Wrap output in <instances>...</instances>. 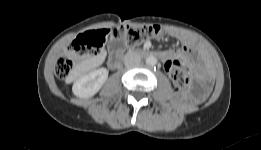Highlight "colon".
Segmentation results:
<instances>
[{
	"instance_id": "1",
	"label": "colon",
	"mask_w": 261,
	"mask_h": 150,
	"mask_svg": "<svg viewBox=\"0 0 261 150\" xmlns=\"http://www.w3.org/2000/svg\"><path fill=\"white\" fill-rule=\"evenodd\" d=\"M160 33V28L154 25L139 27L124 25L112 30L98 29L83 33L69 45L66 52L58 59L55 66L56 76L60 79H66L77 64L84 59L98 55L108 36L120 38L127 45L135 46L146 39L159 36ZM167 71L177 86L182 87L187 83L186 70L179 61H169Z\"/></svg>"
}]
</instances>
